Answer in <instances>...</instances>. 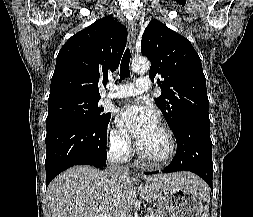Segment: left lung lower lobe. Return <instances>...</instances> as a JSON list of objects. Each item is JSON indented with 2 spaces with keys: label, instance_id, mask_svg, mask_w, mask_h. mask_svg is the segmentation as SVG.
Wrapping results in <instances>:
<instances>
[{
  "label": "left lung lower lobe",
  "instance_id": "0a47b994",
  "mask_svg": "<svg viewBox=\"0 0 253 217\" xmlns=\"http://www.w3.org/2000/svg\"><path fill=\"white\" fill-rule=\"evenodd\" d=\"M177 151L172 162L163 172L191 171L203 178L212 189L213 163L210 125L187 122L174 133ZM156 172H145L154 174Z\"/></svg>",
  "mask_w": 253,
  "mask_h": 217
}]
</instances>
